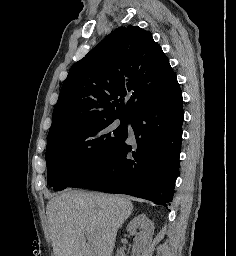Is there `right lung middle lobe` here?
<instances>
[{"instance_id": "1", "label": "right lung middle lobe", "mask_w": 236, "mask_h": 256, "mask_svg": "<svg viewBox=\"0 0 236 256\" xmlns=\"http://www.w3.org/2000/svg\"><path fill=\"white\" fill-rule=\"evenodd\" d=\"M120 119L115 128L112 123ZM129 118H112L75 125L47 138V181L53 189H65L85 171L111 154L127 135Z\"/></svg>"}]
</instances>
